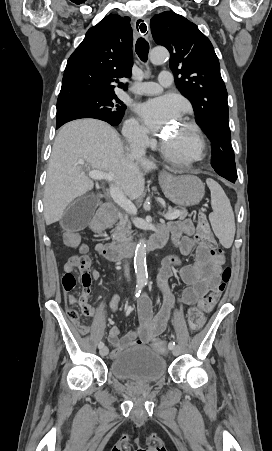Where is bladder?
I'll list each match as a JSON object with an SVG mask.
<instances>
[{
    "label": "bladder",
    "mask_w": 272,
    "mask_h": 451,
    "mask_svg": "<svg viewBox=\"0 0 272 451\" xmlns=\"http://www.w3.org/2000/svg\"><path fill=\"white\" fill-rule=\"evenodd\" d=\"M109 370L110 375L117 377L120 382L153 383L165 378L166 359L148 348L138 346L119 353L111 360Z\"/></svg>",
    "instance_id": "obj_1"
}]
</instances>
